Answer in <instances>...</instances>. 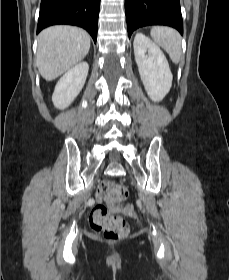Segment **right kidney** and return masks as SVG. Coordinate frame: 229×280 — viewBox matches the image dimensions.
<instances>
[{
  "mask_svg": "<svg viewBox=\"0 0 229 280\" xmlns=\"http://www.w3.org/2000/svg\"><path fill=\"white\" fill-rule=\"evenodd\" d=\"M88 70V63L81 62L60 78L52 95L56 108L65 109L74 101L85 84Z\"/></svg>",
  "mask_w": 229,
  "mask_h": 280,
  "instance_id": "1",
  "label": "right kidney"
}]
</instances>
